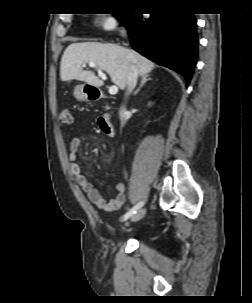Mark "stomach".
<instances>
[{
	"label": "stomach",
	"mask_w": 252,
	"mask_h": 303,
	"mask_svg": "<svg viewBox=\"0 0 252 303\" xmlns=\"http://www.w3.org/2000/svg\"><path fill=\"white\" fill-rule=\"evenodd\" d=\"M88 86L86 84H79L74 88V97L80 101H87L89 95L87 93Z\"/></svg>",
	"instance_id": "1"
}]
</instances>
